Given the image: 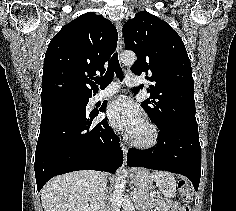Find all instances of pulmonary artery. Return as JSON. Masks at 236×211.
<instances>
[{"mask_svg":"<svg viewBox=\"0 0 236 211\" xmlns=\"http://www.w3.org/2000/svg\"><path fill=\"white\" fill-rule=\"evenodd\" d=\"M125 83L127 86L134 87L141 83L140 77L135 74L127 73L125 76ZM119 85L117 83H109L104 90L96 93L93 97V101H98L113 96L117 93Z\"/></svg>","mask_w":236,"mask_h":211,"instance_id":"1","label":"pulmonary artery"}]
</instances>
